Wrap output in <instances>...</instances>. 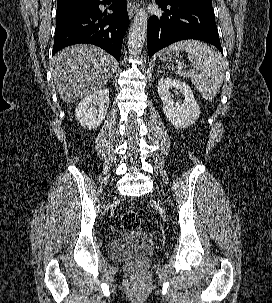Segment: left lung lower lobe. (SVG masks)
Returning <instances> with one entry per match:
<instances>
[{
	"instance_id": "left-lung-lower-lobe-1",
	"label": "left lung lower lobe",
	"mask_w": 272,
	"mask_h": 303,
	"mask_svg": "<svg viewBox=\"0 0 272 303\" xmlns=\"http://www.w3.org/2000/svg\"><path fill=\"white\" fill-rule=\"evenodd\" d=\"M164 11L148 20L147 48L149 58L158 50L180 40L198 39L216 46L222 53L212 5L164 4Z\"/></svg>"
}]
</instances>
